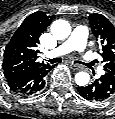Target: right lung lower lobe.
<instances>
[{
	"mask_svg": "<svg viewBox=\"0 0 115 119\" xmlns=\"http://www.w3.org/2000/svg\"><path fill=\"white\" fill-rule=\"evenodd\" d=\"M51 70L49 65L32 69L20 76L9 79L8 85L11 90L24 96L40 92L45 86V76Z\"/></svg>",
	"mask_w": 115,
	"mask_h": 119,
	"instance_id": "1",
	"label": "right lung lower lobe"
}]
</instances>
